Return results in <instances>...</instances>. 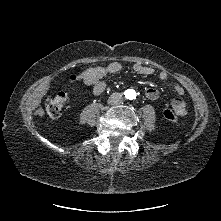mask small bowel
<instances>
[{
  "instance_id": "c3829d8e",
  "label": "small bowel",
  "mask_w": 221,
  "mask_h": 221,
  "mask_svg": "<svg viewBox=\"0 0 221 221\" xmlns=\"http://www.w3.org/2000/svg\"><path fill=\"white\" fill-rule=\"evenodd\" d=\"M123 67V64L120 62H113L110 63L104 67L95 68L92 70H89L85 73L84 79L87 84L93 87L94 93L100 92L103 87V79L106 78L109 75H112L119 70H121ZM134 70L142 76L149 77L151 79H157L162 82H166L167 73L165 71L158 72L155 68L148 66L143 63H137L134 66ZM164 92V89L157 85L155 83L152 85V87L148 88L146 90L147 97L154 99L157 98L159 95H161ZM173 97L171 99L172 106L174 109L182 108L186 109L188 108L189 104L186 100H184V91L178 87H173L172 89Z\"/></svg>"
}]
</instances>
